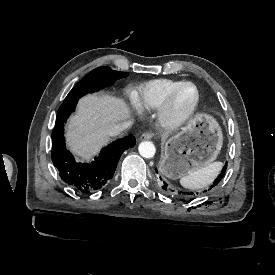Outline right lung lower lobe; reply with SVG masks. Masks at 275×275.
<instances>
[{"label": "right lung lower lobe", "mask_w": 275, "mask_h": 275, "mask_svg": "<svg viewBox=\"0 0 275 275\" xmlns=\"http://www.w3.org/2000/svg\"><path fill=\"white\" fill-rule=\"evenodd\" d=\"M77 102L62 104L58 110L52 132V161L61 179L81 193L101 189L113 177L122 153L135 145V137L130 135L114 141L103 148L99 157L90 164L77 163L65 147L64 125L75 110Z\"/></svg>", "instance_id": "right-lung-lower-lobe-1"}]
</instances>
